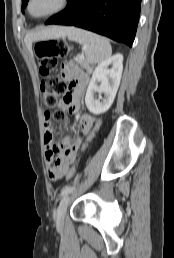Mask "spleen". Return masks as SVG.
Here are the masks:
<instances>
[{"label":"spleen","instance_id":"spleen-1","mask_svg":"<svg viewBox=\"0 0 174 258\" xmlns=\"http://www.w3.org/2000/svg\"><path fill=\"white\" fill-rule=\"evenodd\" d=\"M66 35L69 40L82 45L86 61L90 64L100 63L111 56L112 48L105 37L76 27H68Z\"/></svg>","mask_w":174,"mask_h":258}]
</instances>
